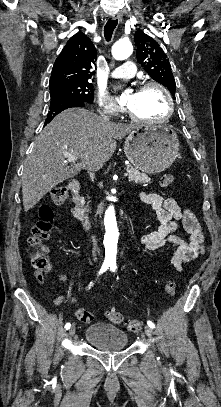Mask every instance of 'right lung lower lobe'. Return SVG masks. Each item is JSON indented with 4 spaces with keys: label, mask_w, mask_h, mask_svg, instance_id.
I'll use <instances>...</instances> for the list:
<instances>
[{
    "label": "right lung lower lobe",
    "mask_w": 221,
    "mask_h": 407,
    "mask_svg": "<svg viewBox=\"0 0 221 407\" xmlns=\"http://www.w3.org/2000/svg\"><path fill=\"white\" fill-rule=\"evenodd\" d=\"M86 102L81 100L66 99L51 103L45 124L49 123L58 113L72 107H83Z\"/></svg>",
    "instance_id": "obj_1"
}]
</instances>
